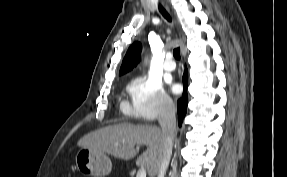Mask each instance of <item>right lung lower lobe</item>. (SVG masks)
Masks as SVG:
<instances>
[{"label":"right lung lower lobe","mask_w":287,"mask_h":177,"mask_svg":"<svg viewBox=\"0 0 287 177\" xmlns=\"http://www.w3.org/2000/svg\"><path fill=\"white\" fill-rule=\"evenodd\" d=\"M183 85H184V91L182 97L178 100V124L181 126L183 118L186 115L187 111V105H188V95H187V86H188V71L187 68H185L184 74H183Z\"/></svg>","instance_id":"98d812e1"}]
</instances>
